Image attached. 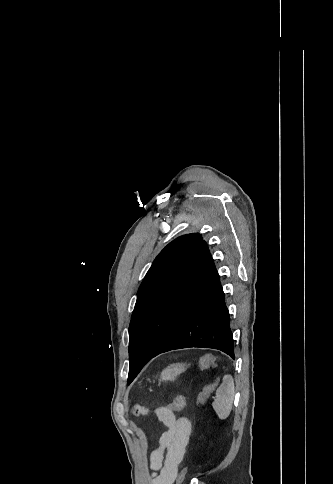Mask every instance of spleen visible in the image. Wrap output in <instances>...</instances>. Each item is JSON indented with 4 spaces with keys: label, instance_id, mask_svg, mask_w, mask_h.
Instances as JSON below:
<instances>
[{
    "label": "spleen",
    "instance_id": "3e777b00",
    "mask_svg": "<svg viewBox=\"0 0 333 484\" xmlns=\"http://www.w3.org/2000/svg\"><path fill=\"white\" fill-rule=\"evenodd\" d=\"M234 380L231 375L223 377L222 384L216 390V399L212 403V407L219 419H226L231 412L234 399Z\"/></svg>",
    "mask_w": 333,
    "mask_h": 484
}]
</instances>
